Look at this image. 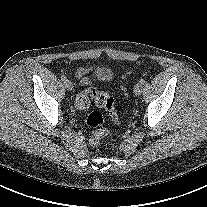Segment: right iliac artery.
Instances as JSON below:
<instances>
[{"instance_id":"right-iliac-artery-1","label":"right iliac artery","mask_w":207,"mask_h":207,"mask_svg":"<svg viewBox=\"0 0 207 207\" xmlns=\"http://www.w3.org/2000/svg\"><path fill=\"white\" fill-rule=\"evenodd\" d=\"M61 80L65 82V81H67V77H66V76H64V75H63V76H61Z\"/></svg>"}]
</instances>
